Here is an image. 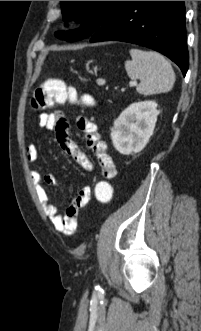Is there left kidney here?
<instances>
[{
  "mask_svg": "<svg viewBox=\"0 0 201 331\" xmlns=\"http://www.w3.org/2000/svg\"><path fill=\"white\" fill-rule=\"evenodd\" d=\"M154 101L132 103L114 122L111 139L115 149L129 155L139 153L152 136L159 111Z\"/></svg>",
  "mask_w": 201,
  "mask_h": 331,
  "instance_id": "obj_1",
  "label": "left kidney"
}]
</instances>
